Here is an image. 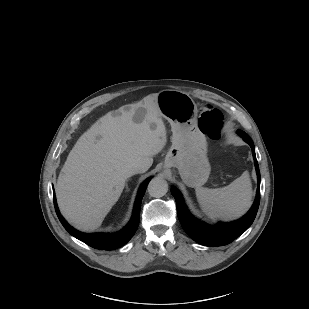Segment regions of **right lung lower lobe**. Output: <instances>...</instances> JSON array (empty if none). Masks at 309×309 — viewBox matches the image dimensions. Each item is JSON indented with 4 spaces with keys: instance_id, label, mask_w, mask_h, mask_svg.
<instances>
[{
    "instance_id": "98d812e1",
    "label": "right lung lower lobe",
    "mask_w": 309,
    "mask_h": 309,
    "mask_svg": "<svg viewBox=\"0 0 309 309\" xmlns=\"http://www.w3.org/2000/svg\"><path fill=\"white\" fill-rule=\"evenodd\" d=\"M150 179L151 178L146 179L138 191V195H137L134 209H133V215H132L130 222L127 224V226L124 229H122L120 232H117L115 234H105V233L86 234V233H82V232L75 230L65 221V219L60 214L57 203H56L55 193H54V206H55L57 216L60 222L62 223V225L64 226V228L72 236L81 240L87 245L93 248H96V249H100V250L116 249L124 245L125 243H127L132 238V236L137 230V227L139 225V220H140L141 201H142L143 195L145 193L146 187Z\"/></svg>"
}]
</instances>
